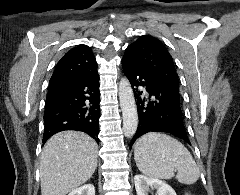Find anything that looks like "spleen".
<instances>
[{
  "label": "spleen",
  "mask_w": 240,
  "mask_h": 195,
  "mask_svg": "<svg viewBox=\"0 0 240 195\" xmlns=\"http://www.w3.org/2000/svg\"><path fill=\"white\" fill-rule=\"evenodd\" d=\"M135 163L149 177L171 179L177 169L176 179L180 183H195L200 175V169L187 147L158 131H149L137 139L134 145Z\"/></svg>",
  "instance_id": "3e777b00"
}]
</instances>
